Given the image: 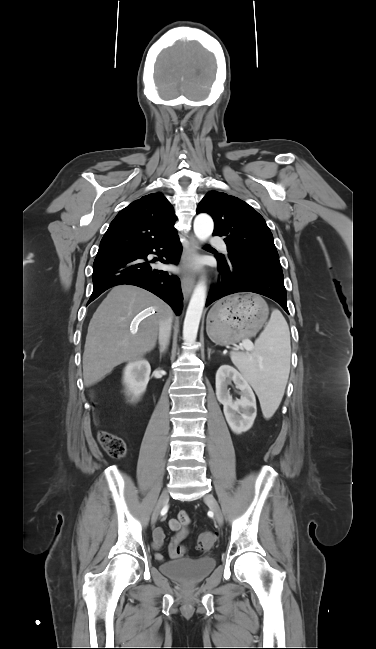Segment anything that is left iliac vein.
<instances>
[{
    "label": "left iliac vein",
    "instance_id": "1",
    "mask_svg": "<svg viewBox=\"0 0 376 649\" xmlns=\"http://www.w3.org/2000/svg\"><path fill=\"white\" fill-rule=\"evenodd\" d=\"M204 501L208 505L210 510L213 512L214 517H215L216 521L218 522V524L222 525L223 521H224V518H223V514L221 512V509H220V506H219L217 500L214 498V496L212 494H206L204 496Z\"/></svg>",
    "mask_w": 376,
    "mask_h": 649
}]
</instances>
